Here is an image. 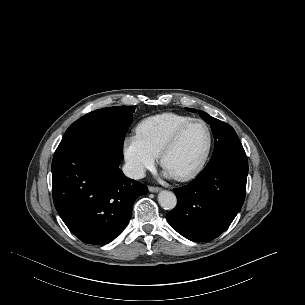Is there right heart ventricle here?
Here are the masks:
<instances>
[{"instance_id": "e07e8e85", "label": "right heart ventricle", "mask_w": 305, "mask_h": 305, "mask_svg": "<svg viewBox=\"0 0 305 305\" xmlns=\"http://www.w3.org/2000/svg\"><path fill=\"white\" fill-rule=\"evenodd\" d=\"M191 119L193 118L190 116L176 113L148 117L137 126V136L153 155L159 156L176 130Z\"/></svg>"}]
</instances>
